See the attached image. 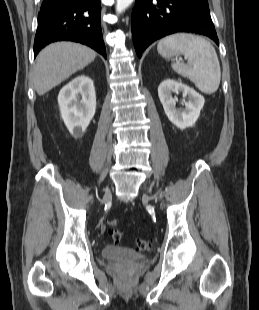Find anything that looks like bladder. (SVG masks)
I'll use <instances>...</instances> for the list:
<instances>
[{
    "label": "bladder",
    "instance_id": "1",
    "mask_svg": "<svg viewBox=\"0 0 259 310\" xmlns=\"http://www.w3.org/2000/svg\"><path fill=\"white\" fill-rule=\"evenodd\" d=\"M101 255L105 260L109 261H139L144 258V255L117 245L105 246Z\"/></svg>",
    "mask_w": 259,
    "mask_h": 310
}]
</instances>
